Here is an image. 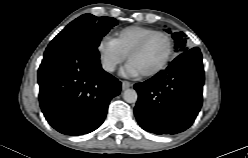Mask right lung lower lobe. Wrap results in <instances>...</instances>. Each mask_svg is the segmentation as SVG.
<instances>
[{
	"label": "right lung lower lobe",
	"mask_w": 248,
	"mask_h": 158,
	"mask_svg": "<svg viewBox=\"0 0 248 158\" xmlns=\"http://www.w3.org/2000/svg\"><path fill=\"white\" fill-rule=\"evenodd\" d=\"M39 102L48 123L60 133L82 135L104 121L121 82L100 65L97 48L50 43L38 70Z\"/></svg>",
	"instance_id": "1"
}]
</instances>
